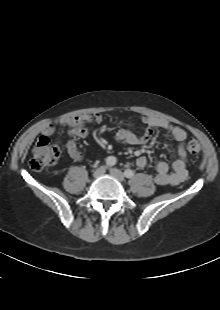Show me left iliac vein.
I'll return each mask as SVG.
<instances>
[{
  "instance_id": "1",
  "label": "left iliac vein",
  "mask_w": 220,
  "mask_h": 310,
  "mask_svg": "<svg viewBox=\"0 0 220 310\" xmlns=\"http://www.w3.org/2000/svg\"><path fill=\"white\" fill-rule=\"evenodd\" d=\"M109 172H110L111 176H113L114 178H116L119 181H123L125 179L124 174L116 168H111Z\"/></svg>"
}]
</instances>
